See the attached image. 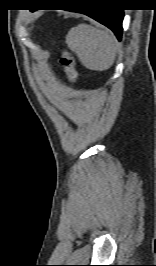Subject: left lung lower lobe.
Segmentation results:
<instances>
[{
  "instance_id": "1",
  "label": "left lung lower lobe",
  "mask_w": 156,
  "mask_h": 266,
  "mask_svg": "<svg viewBox=\"0 0 156 266\" xmlns=\"http://www.w3.org/2000/svg\"><path fill=\"white\" fill-rule=\"evenodd\" d=\"M95 2H106L103 0H98ZM72 11L81 12L92 17L96 21L102 23L103 25L110 28L116 35V37L121 40L122 36V20H123V10L113 9V8H84V9H74Z\"/></svg>"
}]
</instances>
